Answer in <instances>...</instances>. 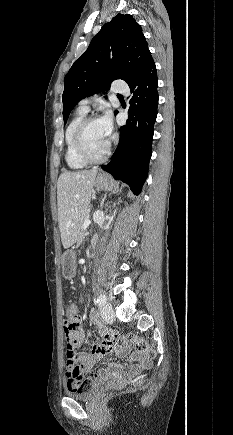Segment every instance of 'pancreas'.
<instances>
[{
  "instance_id": "cf45deb5",
  "label": "pancreas",
  "mask_w": 233,
  "mask_h": 435,
  "mask_svg": "<svg viewBox=\"0 0 233 435\" xmlns=\"http://www.w3.org/2000/svg\"><path fill=\"white\" fill-rule=\"evenodd\" d=\"M89 217H90V215H89V214H86V215L83 217L82 221H81V229H80V234H79V237H80V238H83V234H84V232H85V229L82 227V225H83V223H84L86 220L89 219Z\"/></svg>"
}]
</instances>
